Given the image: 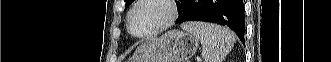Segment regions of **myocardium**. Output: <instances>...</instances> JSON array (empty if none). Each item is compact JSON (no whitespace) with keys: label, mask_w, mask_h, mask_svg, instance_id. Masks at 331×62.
<instances>
[{"label":"myocardium","mask_w":331,"mask_h":62,"mask_svg":"<svg viewBox=\"0 0 331 62\" xmlns=\"http://www.w3.org/2000/svg\"><path fill=\"white\" fill-rule=\"evenodd\" d=\"M153 1L162 2L167 7L168 9L167 17L158 26L148 30L147 32H144L142 34L134 33L131 26L133 14L144 3L153 2ZM177 16H178V8L174 0H138L135 2L133 7L128 12L127 29L129 33L134 37L147 38L167 29L176 20Z\"/></svg>","instance_id":"f54148a6"}]
</instances>
